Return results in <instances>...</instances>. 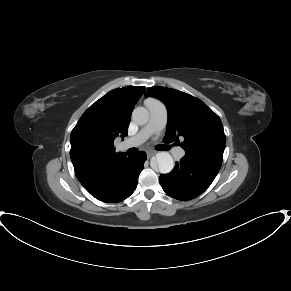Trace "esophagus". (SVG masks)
<instances>
[{"instance_id": "obj_1", "label": "esophagus", "mask_w": 291, "mask_h": 291, "mask_svg": "<svg viewBox=\"0 0 291 291\" xmlns=\"http://www.w3.org/2000/svg\"><path fill=\"white\" fill-rule=\"evenodd\" d=\"M155 154H156L155 151H152V150L147 151V156H148V157H152V156H154Z\"/></svg>"}]
</instances>
